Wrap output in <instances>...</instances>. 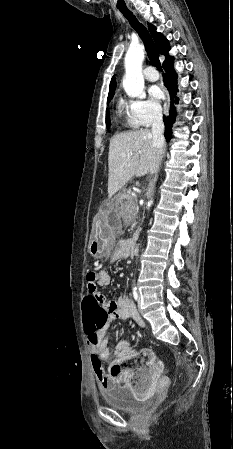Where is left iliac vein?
<instances>
[{"mask_svg":"<svg viewBox=\"0 0 233 449\" xmlns=\"http://www.w3.org/2000/svg\"><path fill=\"white\" fill-rule=\"evenodd\" d=\"M140 302H141V301H140V296H139V301H138L139 305H140Z\"/></svg>","mask_w":233,"mask_h":449,"instance_id":"1","label":"left iliac vein"}]
</instances>
